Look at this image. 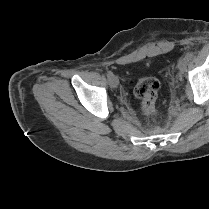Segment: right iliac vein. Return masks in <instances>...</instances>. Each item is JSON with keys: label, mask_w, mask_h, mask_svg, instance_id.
I'll list each match as a JSON object with an SVG mask.
<instances>
[{"label": "right iliac vein", "mask_w": 209, "mask_h": 209, "mask_svg": "<svg viewBox=\"0 0 209 209\" xmlns=\"http://www.w3.org/2000/svg\"><path fill=\"white\" fill-rule=\"evenodd\" d=\"M109 84L112 88H116L119 84V80L117 78V76L113 75L110 79H109Z\"/></svg>", "instance_id": "right-iliac-vein-1"}]
</instances>
